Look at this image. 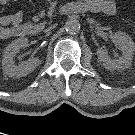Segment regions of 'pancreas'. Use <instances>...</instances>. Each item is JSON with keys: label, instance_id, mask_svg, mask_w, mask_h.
I'll return each instance as SVG.
<instances>
[{"label": "pancreas", "instance_id": "obj_1", "mask_svg": "<svg viewBox=\"0 0 135 135\" xmlns=\"http://www.w3.org/2000/svg\"><path fill=\"white\" fill-rule=\"evenodd\" d=\"M27 26H29V25H27ZM35 28L38 30V26H35Z\"/></svg>", "mask_w": 135, "mask_h": 135}]
</instances>
